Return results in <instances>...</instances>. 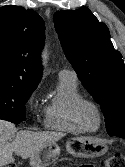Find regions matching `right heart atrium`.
<instances>
[{"mask_svg":"<svg viewBox=\"0 0 125 167\" xmlns=\"http://www.w3.org/2000/svg\"><path fill=\"white\" fill-rule=\"evenodd\" d=\"M27 107L33 114H37L41 111V106L37 100L36 94L32 93L27 99Z\"/></svg>","mask_w":125,"mask_h":167,"instance_id":"d8ad5b80","label":"right heart atrium"}]
</instances>
